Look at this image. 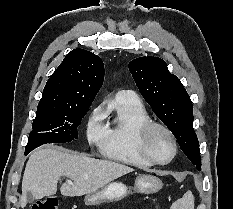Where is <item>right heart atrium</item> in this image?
I'll return each instance as SVG.
<instances>
[{
	"label": "right heart atrium",
	"mask_w": 233,
	"mask_h": 209,
	"mask_svg": "<svg viewBox=\"0 0 233 209\" xmlns=\"http://www.w3.org/2000/svg\"><path fill=\"white\" fill-rule=\"evenodd\" d=\"M106 135V129L102 123V113L94 109L87 121L86 137L90 144H101Z\"/></svg>",
	"instance_id": "right-heart-atrium-1"
}]
</instances>
